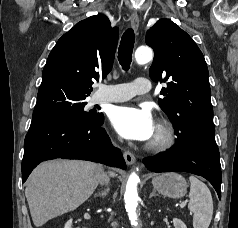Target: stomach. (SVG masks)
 <instances>
[{
	"instance_id": "1",
	"label": "stomach",
	"mask_w": 238,
	"mask_h": 228,
	"mask_svg": "<svg viewBox=\"0 0 238 228\" xmlns=\"http://www.w3.org/2000/svg\"><path fill=\"white\" fill-rule=\"evenodd\" d=\"M152 185L159 193L170 198L184 196L188 187L185 178L175 172L154 175Z\"/></svg>"
}]
</instances>
